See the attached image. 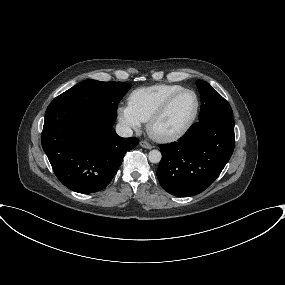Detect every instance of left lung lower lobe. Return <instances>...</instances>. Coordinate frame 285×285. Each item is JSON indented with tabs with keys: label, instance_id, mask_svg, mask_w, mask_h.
<instances>
[{
	"label": "left lung lower lobe",
	"instance_id": "1",
	"mask_svg": "<svg viewBox=\"0 0 285 285\" xmlns=\"http://www.w3.org/2000/svg\"><path fill=\"white\" fill-rule=\"evenodd\" d=\"M234 119L213 115L200 119L177 142L160 145L158 180L168 193L188 197L207 189L234 150Z\"/></svg>",
	"mask_w": 285,
	"mask_h": 285
}]
</instances>
